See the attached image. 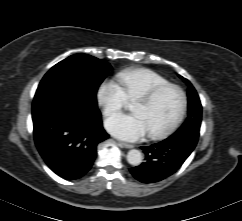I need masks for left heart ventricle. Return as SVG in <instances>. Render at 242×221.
<instances>
[{
	"label": "left heart ventricle",
	"mask_w": 242,
	"mask_h": 221,
	"mask_svg": "<svg viewBox=\"0 0 242 221\" xmlns=\"http://www.w3.org/2000/svg\"><path fill=\"white\" fill-rule=\"evenodd\" d=\"M179 108V93L168 89L150 104L135 102L132 112L144 120L148 133H152L167 127L176 117Z\"/></svg>",
	"instance_id": "b2bd125f"
}]
</instances>
